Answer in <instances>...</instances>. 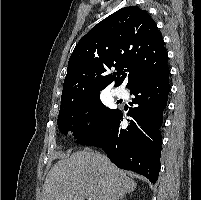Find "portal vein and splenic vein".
<instances>
[{"label": "portal vein and splenic vein", "mask_w": 201, "mask_h": 200, "mask_svg": "<svg viewBox=\"0 0 201 200\" xmlns=\"http://www.w3.org/2000/svg\"><path fill=\"white\" fill-rule=\"evenodd\" d=\"M89 200H92V197H91V196H89Z\"/></svg>", "instance_id": "obj_1"}]
</instances>
